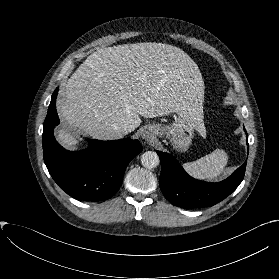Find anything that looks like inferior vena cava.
Returning <instances> with one entry per match:
<instances>
[{
  "mask_svg": "<svg viewBox=\"0 0 279 279\" xmlns=\"http://www.w3.org/2000/svg\"><path fill=\"white\" fill-rule=\"evenodd\" d=\"M133 130L131 125L123 126L120 131L123 135L130 133Z\"/></svg>",
  "mask_w": 279,
  "mask_h": 279,
  "instance_id": "inferior-vena-cava-1",
  "label": "inferior vena cava"
}]
</instances>
